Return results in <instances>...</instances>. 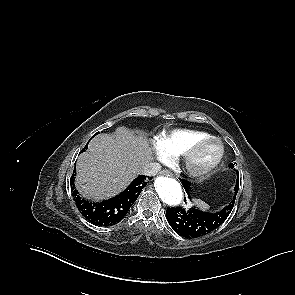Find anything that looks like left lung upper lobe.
Returning <instances> with one entry per match:
<instances>
[{"label":"left lung upper lobe","instance_id":"1","mask_svg":"<svg viewBox=\"0 0 295 295\" xmlns=\"http://www.w3.org/2000/svg\"><path fill=\"white\" fill-rule=\"evenodd\" d=\"M230 168H234V164H231V165H230Z\"/></svg>","mask_w":295,"mask_h":295}]
</instances>
